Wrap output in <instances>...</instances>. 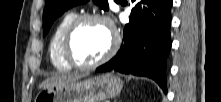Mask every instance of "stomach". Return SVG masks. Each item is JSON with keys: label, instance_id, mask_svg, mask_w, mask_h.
I'll return each mask as SVG.
<instances>
[{"label": "stomach", "instance_id": "1", "mask_svg": "<svg viewBox=\"0 0 221 102\" xmlns=\"http://www.w3.org/2000/svg\"><path fill=\"white\" fill-rule=\"evenodd\" d=\"M122 88L123 82L118 76L104 74L43 89L34 102H103L118 96Z\"/></svg>", "mask_w": 221, "mask_h": 102}]
</instances>
